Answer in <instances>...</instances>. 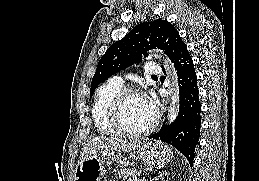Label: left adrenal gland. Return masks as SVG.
<instances>
[{
	"instance_id": "1",
	"label": "left adrenal gland",
	"mask_w": 259,
	"mask_h": 181,
	"mask_svg": "<svg viewBox=\"0 0 259 181\" xmlns=\"http://www.w3.org/2000/svg\"><path fill=\"white\" fill-rule=\"evenodd\" d=\"M164 174H165V172H161V174H159L158 176L154 177L151 181H158L161 177H163Z\"/></svg>"
}]
</instances>
